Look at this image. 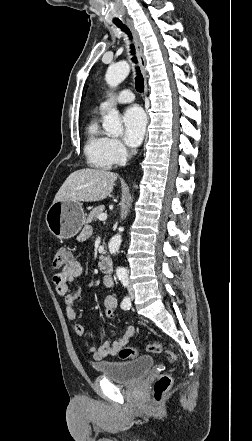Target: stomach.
I'll return each mask as SVG.
<instances>
[{
	"instance_id": "0dacf381",
	"label": "stomach",
	"mask_w": 252,
	"mask_h": 441,
	"mask_svg": "<svg viewBox=\"0 0 252 441\" xmlns=\"http://www.w3.org/2000/svg\"><path fill=\"white\" fill-rule=\"evenodd\" d=\"M45 220L55 237L70 239L81 230L85 223V214L80 202L54 201L46 212Z\"/></svg>"
}]
</instances>
